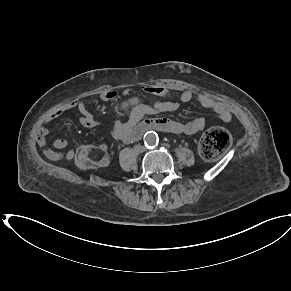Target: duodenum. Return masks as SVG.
I'll return each instance as SVG.
<instances>
[{
	"instance_id": "duodenum-1",
	"label": "duodenum",
	"mask_w": 291,
	"mask_h": 291,
	"mask_svg": "<svg viewBox=\"0 0 291 291\" xmlns=\"http://www.w3.org/2000/svg\"><path fill=\"white\" fill-rule=\"evenodd\" d=\"M150 130V128H146V131H149ZM146 133V132H145Z\"/></svg>"
}]
</instances>
